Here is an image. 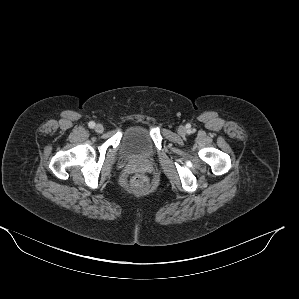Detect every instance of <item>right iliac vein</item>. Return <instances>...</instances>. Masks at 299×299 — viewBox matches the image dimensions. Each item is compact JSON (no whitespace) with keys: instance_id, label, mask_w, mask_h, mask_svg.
Listing matches in <instances>:
<instances>
[{"instance_id":"1","label":"right iliac vein","mask_w":299,"mask_h":299,"mask_svg":"<svg viewBox=\"0 0 299 299\" xmlns=\"http://www.w3.org/2000/svg\"><path fill=\"white\" fill-rule=\"evenodd\" d=\"M94 129L97 133H102L104 131V127L102 124H97Z\"/></svg>"}]
</instances>
